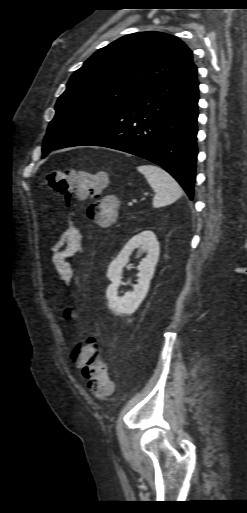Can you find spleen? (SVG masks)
<instances>
[{
	"instance_id": "obj_1",
	"label": "spleen",
	"mask_w": 247,
	"mask_h": 513,
	"mask_svg": "<svg viewBox=\"0 0 247 513\" xmlns=\"http://www.w3.org/2000/svg\"><path fill=\"white\" fill-rule=\"evenodd\" d=\"M137 170L145 176L156 193L152 202L154 208L167 206L182 196L179 184L162 168L151 164H142L137 167Z\"/></svg>"
}]
</instances>
